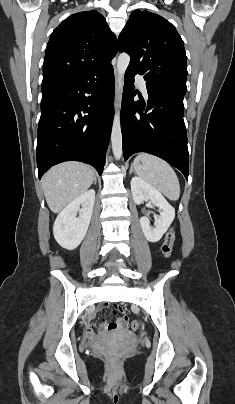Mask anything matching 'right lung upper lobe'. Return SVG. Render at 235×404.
<instances>
[{
	"mask_svg": "<svg viewBox=\"0 0 235 404\" xmlns=\"http://www.w3.org/2000/svg\"><path fill=\"white\" fill-rule=\"evenodd\" d=\"M117 51L116 36L99 12L73 14L50 36L42 83L105 69Z\"/></svg>",
	"mask_w": 235,
	"mask_h": 404,
	"instance_id": "right-lung-upper-lobe-1",
	"label": "right lung upper lobe"
}]
</instances>
